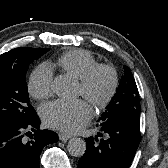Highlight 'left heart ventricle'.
<instances>
[{
    "mask_svg": "<svg viewBox=\"0 0 168 168\" xmlns=\"http://www.w3.org/2000/svg\"><path fill=\"white\" fill-rule=\"evenodd\" d=\"M108 88V79L106 77V75L101 74L94 85V93L98 96L102 95L105 93V91ZM83 90L81 85L79 84V94H82Z\"/></svg>",
    "mask_w": 168,
    "mask_h": 168,
    "instance_id": "b2bd125f",
    "label": "left heart ventricle"
}]
</instances>
